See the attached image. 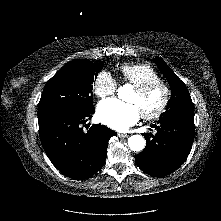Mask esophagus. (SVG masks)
I'll return each mask as SVG.
<instances>
[{
	"label": "esophagus",
	"mask_w": 221,
	"mask_h": 221,
	"mask_svg": "<svg viewBox=\"0 0 221 221\" xmlns=\"http://www.w3.org/2000/svg\"><path fill=\"white\" fill-rule=\"evenodd\" d=\"M118 137L119 138H127V137H129V135L128 134L118 133Z\"/></svg>",
	"instance_id": "obj_1"
}]
</instances>
